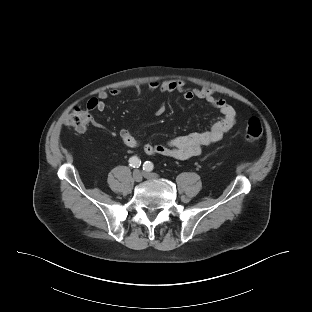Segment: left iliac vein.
<instances>
[{
  "label": "left iliac vein",
  "instance_id": "obj_1",
  "mask_svg": "<svg viewBox=\"0 0 312 312\" xmlns=\"http://www.w3.org/2000/svg\"><path fill=\"white\" fill-rule=\"evenodd\" d=\"M143 176L147 179H157L158 178V174L156 173H150V172H144Z\"/></svg>",
  "mask_w": 312,
  "mask_h": 312
}]
</instances>
